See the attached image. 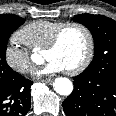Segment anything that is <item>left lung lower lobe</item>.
<instances>
[{"instance_id":"left-lung-lower-lobe-1","label":"left lung lower lobe","mask_w":116,"mask_h":116,"mask_svg":"<svg viewBox=\"0 0 116 116\" xmlns=\"http://www.w3.org/2000/svg\"><path fill=\"white\" fill-rule=\"evenodd\" d=\"M63 102L66 116H116V71L81 73Z\"/></svg>"}]
</instances>
